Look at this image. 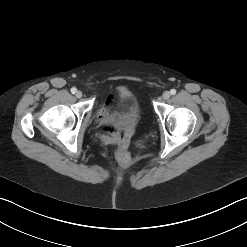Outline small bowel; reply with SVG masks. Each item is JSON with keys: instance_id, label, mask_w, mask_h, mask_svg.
Here are the masks:
<instances>
[{"instance_id": "small-bowel-1", "label": "small bowel", "mask_w": 247, "mask_h": 247, "mask_svg": "<svg viewBox=\"0 0 247 247\" xmlns=\"http://www.w3.org/2000/svg\"><path fill=\"white\" fill-rule=\"evenodd\" d=\"M112 102H113V97L110 96L97 110L96 115H97L98 121L101 124L107 122V120H108L107 118H108V114H109ZM106 130L108 132V135H106L104 138L106 142H108L110 144L120 143L122 150L127 148V142L120 140L119 135L115 132L113 127H110L108 125V126H106Z\"/></svg>"}]
</instances>
